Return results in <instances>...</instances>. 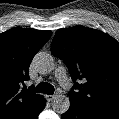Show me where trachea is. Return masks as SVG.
Instances as JSON below:
<instances>
[{"mask_svg": "<svg viewBox=\"0 0 119 119\" xmlns=\"http://www.w3.org/2000/svg\"><path fill=\"white\" fill-rule=\"evenodd\" d=\"M36 91L46 94H53L54 93V87L47 83H39L36 86Z\"/></svg>", "mask_w": 119, "mask_h": 119, "instance_id": "1", "label": "trachea"}]
</instances>
